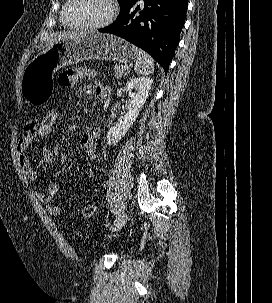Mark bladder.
Listing matches in <instances>:
<instances>
[{
	"instance_id": "31cf9c89",
	"label": "bladder",
	"mask_w": 272,
	"mask_h": 303,
	"mask_svg": "<svg viewBox=\"0 0 272 303\" xmlns=\"http://www.w3.org/2000/svg\"><path fill=\"white\" fill-rule=\"evenodd\" d=\"M91 246L94 248V249H99L102 247V243L99 239L97 238H93L91 240Z\"/></svg>"
}]
</instances>
